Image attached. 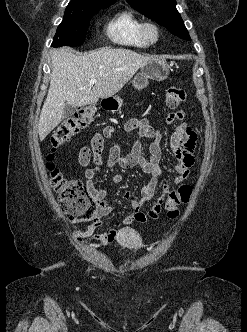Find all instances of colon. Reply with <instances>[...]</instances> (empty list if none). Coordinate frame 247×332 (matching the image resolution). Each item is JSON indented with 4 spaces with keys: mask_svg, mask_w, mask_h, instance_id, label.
Returning a JSON list of instances; mask_svg holds the SVG:
<instances>
[{
    "mask_svg": "<svg viewBox=\"0 0 247 332\" xmlns=\"http://www.w3.org/2000/svg\"><path fill=\"white\" fill-rule=\"evenodd\" d=\"M186 100V91L181 87L171 86L165 92V102L169 109H175ZM96 108L94 106H84L80 108L73 116L62 122L51 135V146L54 152L80 130L86 128L92 121ZM53 155H49L51 161ZM48 170L52 187L62 204L65 214L71 222H79L91 219L96 211V204L89 196V193L83 182L76 178L64 175L61 171L49 162ZM192 196V187L181 185L177 189L169 192L165 201L167 216L171 219L179 215V206L190 201Z\"/></svg>",
    "mask_w": 247,
    "mask_h": 332,
    "instance_id": "5ec220e1",
    "label": "colon"
}]
</instances>
